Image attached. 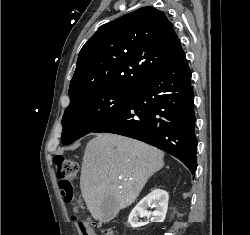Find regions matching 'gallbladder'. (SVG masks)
Masks as SVG:
<instances>
[{"label":"gallbladder","mask_w":250,"mask_h":235,"mask_svg":"<svg viewBox=\"0 0 250 235\" xmlns=\"http://www.w3.org/2000/svg\"><path fill=\"white\" fill-rule=\"evenodd\" d=\"M101 211V221L109 222L114 219L119 213V205L117 200L112 196L106 197L101 205Z\"/></svg>","instance_id":"gallbladder-1"}]
</instances>
